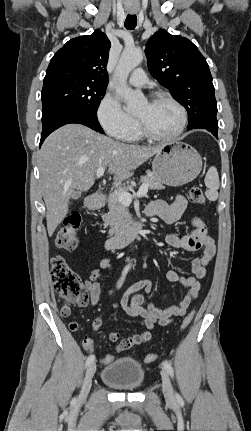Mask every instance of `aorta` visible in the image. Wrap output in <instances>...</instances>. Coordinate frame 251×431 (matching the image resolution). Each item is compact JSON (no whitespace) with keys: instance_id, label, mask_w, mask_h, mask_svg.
I'll return each mask as SVG.
<instances>
[{"instance_id":"aorta-1","label":"aorta","mask_w":251,"mask_h":431,"mask_svg":"<svg viewBox=\"0 0 251 431\" xmlns=\"http://www.w3.org/2000/svg\"><path fill=\"white\" fill-rule=\"evenodd\" d=\"M143 60V52L138 48H125L115 68V76L118 78L116 94L123 99L128 109L136 108L140 104V96L127 84L130 72ZM131 265V264H130Z\"/></svg>"}]
</instances>
